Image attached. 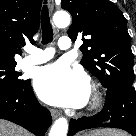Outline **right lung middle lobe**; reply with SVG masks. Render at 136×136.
I'll list each match as a JSON object with an SVG mask.
<instances>
[{"label": "right lung middle lobe", "instance_id": "1", "mask_svg": "<svg viewBox=\"0 0 136 136\" xmlns=\"http://www.w3.org/2000/svg\"><path fill=\"white\" fill-rule=\"evenodd\" d=\"M16 62L0 63V91L14 90L21 86L24 80L19 79L20 73L15 71Z\"/></svg>", "mask_w": 136, "mask_h": 136}]
</instances>
